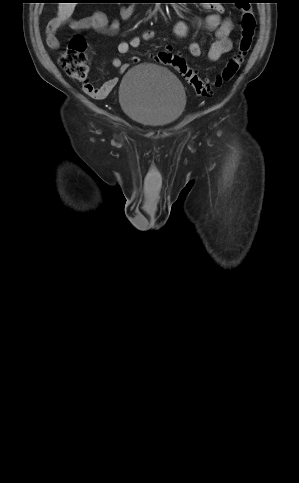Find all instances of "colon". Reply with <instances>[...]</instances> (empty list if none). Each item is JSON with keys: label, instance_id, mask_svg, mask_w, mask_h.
<instances>
[{"label": "colon", "instance_id": "obj_1", "mask_svg": "<svg viewBox=\"0 0 299 483\" xmlns=\"http://www.w3.org/2000/svg\"><path fill=\"white\" fill-rule=\"evenodd\" d=\"M255 28L256 19L253 11L249 8H242L240 36L236 50L223 69L213 79L201 78L183 57L174 54L170 50L158 52L153 56V59L156 63L175 69L198 96L207 97L224 83L232 80L237 74L251 49ZM86 48V38L83 35L74 36L61 56L60 65L71 78L82 82L89 89L90 83L87 81L89 67L85 55Z\"/></svg>", "mask_w": 299, "mask_h": 483}]
</instances>
